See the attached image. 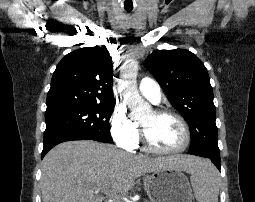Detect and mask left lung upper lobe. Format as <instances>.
I'll list each match as a JSON object with an SVG mask.
<instances>
[{
	"label": "left lung upper lobe",
	"mask_w": 255,
	"mask_h": 202,
	"mask_svg": "<svg viewBox=\"0 0 255 202\" xmlns=\"http://www.w3.org/2000/svg\"><path fill=\"white\" fill-rule=\"evenodd\" d=\"M145 65L189 123V153L219 156L213 89L201 60L185 49L157 50L147 57Z\"/></svg>",
	"instance_id": "left-lung-upper-lobe-1"
}]
</instances>
